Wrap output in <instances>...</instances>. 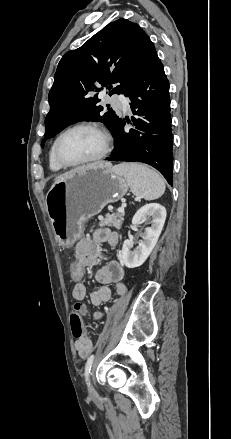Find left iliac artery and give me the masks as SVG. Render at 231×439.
<instances>
[{
	"label": "left iliac artery",
	"mask_w": 231,
	"mask_h": 439,
	"mask_svg": "<svg viewBox=\"0 0 231 439\" xmlns=\"http://www.w3.org/2000/svg\"><path fill=\"white\" fill-rule=\"evenodd\" d=\"M93 361H94V355H91L89 358H88V360H87V362H86V365H85V379H86V381H88V378H89V374H90V371H91V367H92V364H93Z\"/></svg>",
	"instance_id": "1"
}]
</instances>
